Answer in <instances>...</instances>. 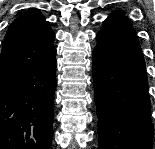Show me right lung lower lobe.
<instances>
[{
	"label": "right lung lower lobe",
	"mask_w": 155,
	"mask_h": 149,
	"mask_svg": "<svg viewBox=\"0 0 155 149\" xmlns=\"http://www.w3.org/2000/svg\"><path fill=\"white\" fill-rule=\"evenodd\" d=\"M55 56L0 78V149H51Z\"/></svg>",
	"instance_id": "obj_1"
}]
</instances>
